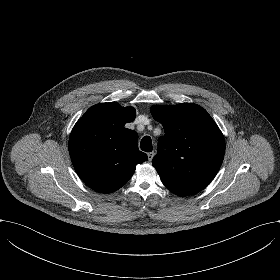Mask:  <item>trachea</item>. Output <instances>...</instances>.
Listing matches in <instances>:
<instances>
[{
  "label": "trachea",
  "instance_id": "obj_1",
  "mask_svg": "<svg viewBox=\"0 0 280 280\" xmlns=\"http://www.w3.org/2000/svg\"><path fill=\"white\" fill-rule=\"evenodd\" d=\"M141 150L145 152H151L152 151V140L149 136H145L141 140Z\"/></svg>",
  "mask_w": 280,
  "mask_h": 280
}]
</instances>
